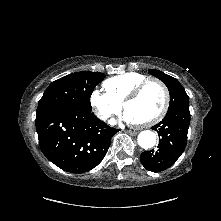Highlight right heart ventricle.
Returning a JSON list of instances; mask_svg holds the SVG:
<instances>
[{"label":"right heart ventricle","instance_id":"right-heart-ventricle-1","mask_svg":"<svg viewBox=\"0 0 221 221\" xmlns=\"http://www.w3.org/2000/svg\"><path fill=\"white\" fill-rule=\"evenodd\" d=\"M147 77L137 72H127L113 76L103 82L106 93L115 101L122 103L126 96Z\"/></svg>","mask_w":221,"mask_h":221}]
</instances>
